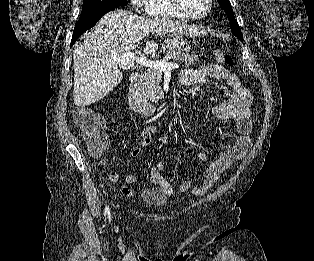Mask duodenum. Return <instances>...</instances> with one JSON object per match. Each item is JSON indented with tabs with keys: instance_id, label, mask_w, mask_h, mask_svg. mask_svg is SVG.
<instances>
[{
	"instance_id": "1",
	"label": "duodenum",
	"mask_w": 314,
	"mask_h": 261,
	"mask_svg": "<svg viewBox=\"0 0 314 261\" xmlns=\"http://www.w3.org/2000/svg\"><path fill=\"white\" fill-rule=\"evenodd\" d=\"M144 76L142 73H133L130 77L129 103L131 108L138 114L147 117L156 115L155 107L149 103L142 92V82Z\"/></svg>"
}]
</instances>
